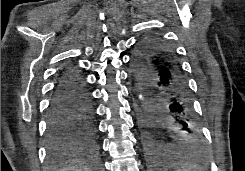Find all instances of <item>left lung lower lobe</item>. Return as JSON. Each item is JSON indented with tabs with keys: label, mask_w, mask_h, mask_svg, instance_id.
I'll use <instances>...</instances> for the list:
<instances>
[{
	"label": "left lung lower lobe",
	"mask_w": 245,
	"mask_h": 171,
	"mask_svg": "<svg viewBox=\"0 0 245 171\" xmlns=\"http://www.w3.org/2000/svg\"><path fill=\"white\" fill-rule=\"evenodd\" d=\"M150 58L151 61L128 62L144 99L143 121L148 131L142 142L148 167H181L186 154L167 148V141L152 129L153 126H165L172 137L192 132L195 116L187 79L169 44L159 45Z\"/></svg>",
	"instance_id": "left-lung-lower-lobe-1"
}]
</instances>
